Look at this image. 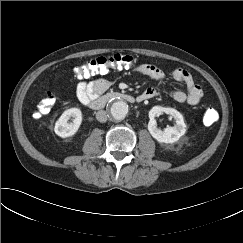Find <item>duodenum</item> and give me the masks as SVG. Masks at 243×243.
Returning <instances> with one entry per match:
<instances>
[{
  "instance_id": "obj_1",
  "label": "duodenum",
  "mask_w": 243,
  "mask_h": 243,
  "mask_svg": "<svg viewBox=\"0 0 243 243\" xmlns=\"http://www.w3.org/2000/svg\"><path fill=\"white\" fill-rule=\"evenodd\" d=\"M114 100H124L129 103H134V102H141L143 101V98L141 96H133L127 93L123 92H110L107 93L106 95L96 98L92 100L89 103V107L95 110H100L103 109L108 103L114 101Z\"/></svg>"
}]
</instances>
